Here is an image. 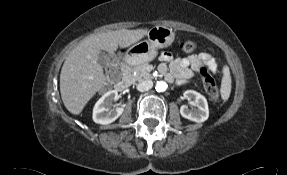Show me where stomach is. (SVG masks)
<instances>
[{"mask_svg": "<svg viewBox=\"0 0 287 175\" xmlns=\"http://www.w3.org/2000/svg\"><path fill=\"white\" fill-rule=\"evenodd\" d=\"M174 32L165 26H154L147 33V39L132 45L125 53L129 65H138L153 60L157 49L166 48L174 41Z\"/></svg>", "mask_w": 287, "mask_h": 175, "instance_id": "0dacf381", "label": "stomach"}]
</instances>
